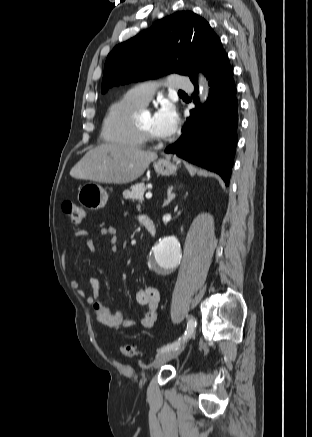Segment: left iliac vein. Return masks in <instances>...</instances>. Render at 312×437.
<instances>
[{
    "instance_id": "obj_1",
    "label": "left iliac vein",
    "mask_w": 312,
    "mask_h": 437,
    "mask_svg": "<svg viewBox=\"0 0 312 437\" xmlns=\"http://www.w3.org/2000/svg\"><path fill=\"white\" fill-rule=\"evenodd\" d=\"M191 319L194 318L191 317ZM186 343H187V339L183 340L179 346L158 354L153 362V367L158 368L162 366L164 363L168 362L169 360L177 357L185 349Z\"/></svg>"
}]
</instances>
